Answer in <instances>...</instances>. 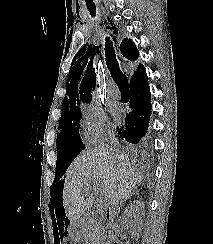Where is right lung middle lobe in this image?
Listing matches in <instances>:
<instances>
[{
    "mask_svg": "<svg viewBox=\"0 0 213 244\" xmlns=\"http://www.w3.org/2000/svg\"><path fill=\"white\" fill-rule=\"evenodd\" d=\"M80 106L62 112L57 135V164L54 183L67 170L72 160L85 148L79 136Z\"/></svg>",
    "mask_w": 213,
    "mask_h": 244,
    "instance_id": "1",
    "label": "right lung middle lobe"
}]
</instances>
